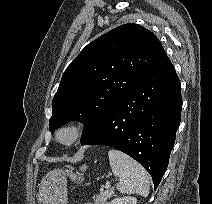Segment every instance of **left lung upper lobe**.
Returning a JSON list of instances; mask_svg holds the SVG:
<instances>
[{
	"instance_id": "obj_1",
	"label": "left lung upper lobe",
	"mask_w": 212,
	"mask_h": 204,
	"mask_svg": "<svg viewBox=\"0 0 212 204\" xmlns=\"http://www.w3.org/2000/svg\"><path fill=\"white\" fill-rule=\"evenodd\" d=\"M166 57L158 38L137 24L121 25L95 39L65 70L52 101L49 130L80 121L82 142Z\"/></svg>"
}]
</instances>
